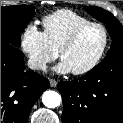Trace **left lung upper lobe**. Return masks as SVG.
<instances>
[{"label": "left lung upper lobe", "instance_id": "5c2ea615", "mask_svg": "<svg viewBox=\"0 0 123 123\" xmlns=\"http://www.w3.org/2000/svg\"><path fill=\"white\" fill-rule=\"evenodd\" d=\"M86 11L97 20L106 24V28L112 38L111 48L106 58L123 53V26L115 16L104 9L94 6L87 7Z\"/></svg>", "mask_w": 123, "mask_h": 123}]
</instances>
